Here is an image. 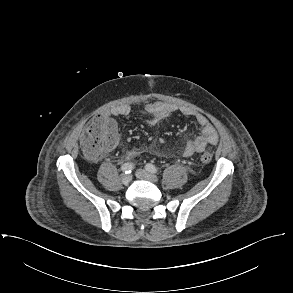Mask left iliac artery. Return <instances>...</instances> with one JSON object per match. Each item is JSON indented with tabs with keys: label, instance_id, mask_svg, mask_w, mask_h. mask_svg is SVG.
<instances>
[{
	"label": "left iliac artery",
	"instance_id": "1",
	"mask_svg": "<svg viewBox=\"0 0 293 293\" xmlns=\"http://www.w3.org/2000/svg\"><path fill=\"white\" fill-rule=\"evenodd\" d=\"M145 168L147 171H149L151 173H155V174L158 173V171H159L158 168L151 163L146 164Z\"/></svg>",
	"mask_w": 293,
	"mask_h": 293
}]
</instances>
